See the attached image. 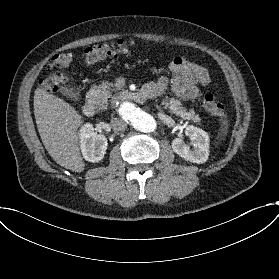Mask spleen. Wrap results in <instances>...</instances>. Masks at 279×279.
Here are the masks:
<instances>
[{
  "mask_svg": "<svg viewBox=\"0 0 279 279\" xmlns=\"http://www.w3.org/2000/svg\"><path fill=\"white\" fill-rule=\"evenodd\" d=\"M226 116H224L225 118ZM222 124L224 125V128L222 129L223 134H226V130H227V120L225 119H221Z\"/></svg>",
  "mask_w": 279,
  "mask_h": 279,
  "instance_id": "1",
  "label": "spleen"
}]
</instances>
